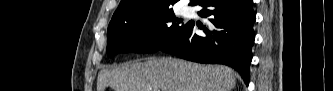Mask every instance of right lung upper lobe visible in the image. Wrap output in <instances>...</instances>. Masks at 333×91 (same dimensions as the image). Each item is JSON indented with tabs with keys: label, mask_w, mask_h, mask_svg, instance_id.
<instances>
[{
	"label": "right lung upper lobe",
	"mask_w": 333,
	"mask_h": 91,
	"mask_svg": "<svg viewBox=\"0 0 333 91\" xmlns=\"http://www.w3.org/2000/svg\"><path fill=\"white\" fill-rule=\"evenodd\" d=\"M178 0H121L111 22L126 21L158 12L172 10ZM202 0H191L190 5H198Z\"/></svg>",
	"instance_id": "right-lung-upper-lobe-1"
}]
</instances>
